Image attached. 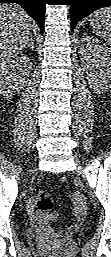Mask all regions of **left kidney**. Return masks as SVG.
<instances>
[{"instance_id":"1","label":"left kidney","mask_w":111,"mask_h":257,"mask_svg":"<svg viewBox=\"0 0 111 257\" xmlns=\"http://www.w3.org/2000/svg\"><path fill=\"white\" fill-rule=\"evenodd\" d=\"M79 54L88 81L94 88H111V50L93 37L80 40Z\"/></svg>"}]
</instances>
